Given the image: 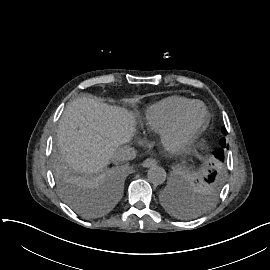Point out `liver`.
I'll use <instances>...</instances> for the list:
<instances>
[{
	"mask_svg": "<svg viewBox=\"0 0 270 270\" xmlns=\"http://www.w3.org/2000/svg\"><path fill=\"white\" fill-rule=\"evenodd\" d=\"M135 123L134 113L124 107L78 97L59 120V153L75 172H101L117 148L132 139Z\"/></svg>",
	"mask_w": 270,
	"mask_h": 270,
	"instance_id": "6515ba94",
	"label": "liver"
}]
</instances>
